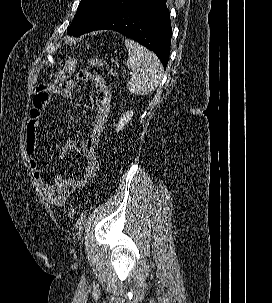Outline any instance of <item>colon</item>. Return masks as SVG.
<instances>
[{
    "label": "colon",
    "instance_id": "1",
    "mask_svg": "<svg viewBox=\"0 0 272 303\" xmlns=\"http://www.w3.org/2000/svg\"><path fill=\"white\" fill-rule=\"evenodd\" d=\"M76 63H77L76 59H71L66 63L64 68L55 72L51 76V83L49 84V88L51 90H54V91L57 90L58 87L60 86V84L72 75ZM89 63H90L91 66L96 67V68H99V67L103 66V61L100 58H97V57L91 58L89 60ZM109 74L112 77H117L118 76V72L114 68H111L109 70ZM74 215H75V208L73 206H70L68 208V216L72 218V217H74Z\"/></svg>",
    "mask_w": 272,
    "mask_h": 303
}]
</instances>
